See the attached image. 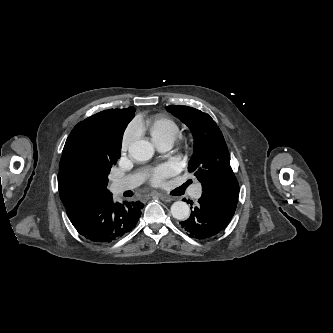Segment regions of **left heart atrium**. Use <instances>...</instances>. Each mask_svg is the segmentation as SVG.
<instances>
[{
	"label": "left heart atrium",
	"instance_id": "39dd6f15",
	"mask_svg": "<svg viewBox=\"0 0 333 333\" xmlns=\"http://www.w3.org/2000/svg\"><path fill=\"white\" fill-rule=\"evenodd\" d=\"M175 171L176 168L173 164H163L154 169L151 175V181L155 185H161L164 183L165 179L172 176Z\"/></svg>",
	"mask_w": 333,
	"mask_h": 333
}]
</instances>
